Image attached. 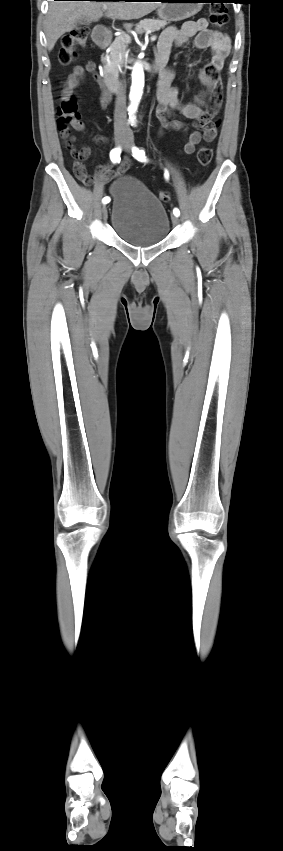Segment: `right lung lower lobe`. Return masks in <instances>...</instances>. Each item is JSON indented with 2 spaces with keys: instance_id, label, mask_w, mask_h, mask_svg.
I'll return each mask as SVG.
<instances>
[{
  "instance_id": "1",
  "label": "right lung lower lobe",
  "mask_w": 283,
  "mask_h": 851,
  "mask_svg": "<svg viewBox=\"0 0 283 851\" xmlns=\"http://www.w3.org/2000/svg\"><path fill=\"white\" fill-rule=\"evenodd\" d=\"M103 1H134V0H103Z\"/></svg>"
}]
</instances>
